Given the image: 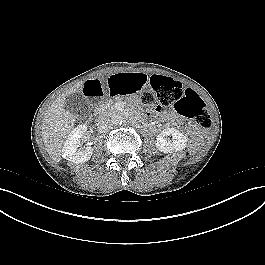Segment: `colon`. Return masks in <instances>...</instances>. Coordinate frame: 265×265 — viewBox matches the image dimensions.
I'll return each instance as SVG.
<instances>
[{
    "mask_svg": "<svg viewBox=\"0 0 265 265\" xmlns=\"http://www.w3.org/2000/svg\"><path fill=\"white\" fill-rule=\"evenodd\" d=\"M149 84L152 90H144L140 96L144 105L156 108L172 106L178 114L194 119L201 127H211V115L193 89L159 74L153 75Z\"/></svg>",
    "mask_w": 265,
    "mask_h": 265,
    "instance_id": "1",
    "label": "colon"
}]
</instances>
